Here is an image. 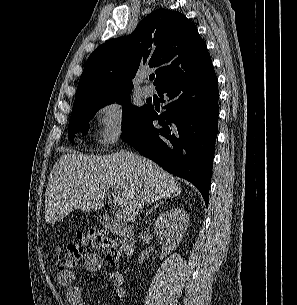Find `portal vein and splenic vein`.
I'll return each mask as SVG.
<instances>
[{"label":"portal vein and splenic vein","instance_id":"1","mask_svg":"<svg viewBox=\"0 0 297 305\" xmlns=\"http://www.w3.org/2000/svg\"><path fill=\"white\" fill-rule=\"evenodd\" d=\"M115 216H116V218H117L118 220H122V219H125V218H126L125 211L122 210V209H117V210H116Z\"/></svg>","mask_w":297,"mask_h":305}]
</instances>
